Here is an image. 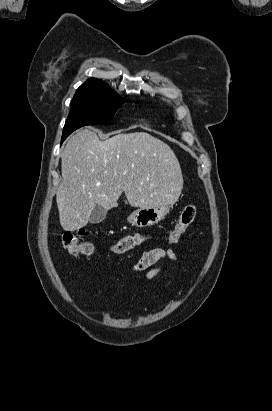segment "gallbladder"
<instances>
[{
	"mask_svg": "<svg viewBox=\"0 0 272 411\" xmlns=\"http://www.w3.org/2000/svg\"><path fill=\"white\" fill-rule=\"evenodd\" d=\"M107 210L100 205H96L91 212L89 222L91 224H98L106 218Z\"/></svg>",
	"mask_w": 272,
	"mask_h": 411,
	"instance_id": "obj_1",
	"label": "gallbladder"
}]
</instances>
